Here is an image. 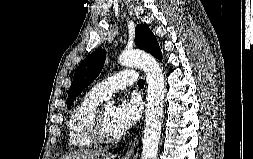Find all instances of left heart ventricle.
<instances>
[{
    "label": "left heart ventricle",
    "instance_id": "obj_1",
    "mask_svg": "<svg viewBox=\"0 0 253 159\" xmlns=\"http://www.w3.org/2000/svg\"><path fill=\"white\" fill-rule=\"evenodd\" d=\"M114 109L111 106H104L102 110L105 131L111 137L120 135L114 123Z\"/></svg>",
    "mask_w": 253,
    "mask_h": 159
}]
</instances>
